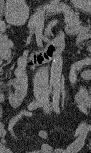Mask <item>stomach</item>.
I'll return each mask as SVG.
<instances>
[{"mask_svg":"<svg viewBox=\"0 0 91 153\" xmlns=\"http://www.w3.org/2000/svg\"><path fill=\"white\" fill-rule=\"evenodd\" d=\"M74 4L85 7V6H89L90 1L89 0H74L73 1Z\"/></svg>","mask_w":91,"mask_h":153,"instance_id":"obj_1","label":"stomach"}]
</instances>
